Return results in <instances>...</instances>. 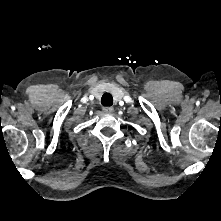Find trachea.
<instances>
[{
    "mask_svg": "<svg viewBox=\"0 0 221 221\" xmlns=\"http://www.w3.org/2000/svg\"><path fill=\"white\" fill-rule=\"evenodd\" d=\"M101 104L103 106H111L113 105V97L110 93L103 94L101 98Z\"/></svg>",
    "mask_w": 221,
    "mask_h": 221,
    "instance_id": "obj_1",
    "label": "trachea"
}]
</instances>
